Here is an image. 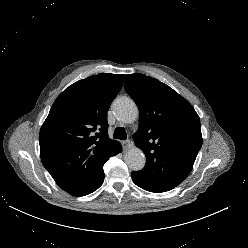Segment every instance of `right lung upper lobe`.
<instances>
[{
  "label": "right lung upper lobe",
  "instance_id": "1",
  "mask_svg": "<svg viewBox=\"0 0 248 248\" xmlns=\"http://www.w3.org/2000/svg\"><path fill=\"white\" fill-rule=\"evenodd\" d=\"M123 80V74L100 73L75 82L57 97L41 127L42 163L73 196L92 190L120 145L108 136L107 112Z\"/></svg>",
  "mask_w": 248,
  "mask_h": 248
}]
</instances>
